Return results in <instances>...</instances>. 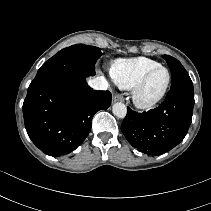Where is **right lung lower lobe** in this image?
<instances>
[{
    "mask_svg": "<svg viewBox=\"0 0 211 211\" xmlns=\"http://www.w3.org/2000/svg\"><path fill=\"white\" fill-rule=\"evenodd\" d=\"M111 104L109 91H93L85 78H35L23 103L25 128L45 154L59 157L76 149L91 130L94 114Z\"/></svg>",
    "mask_w": 211,
    "mask_h": 211,
    "instance_id": "obj_1",
    "label": "right lung lower lobe"
}]
</instances>
